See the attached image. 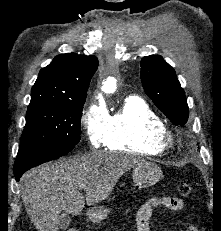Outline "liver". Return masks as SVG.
Wrapping results in <instances>:
<instances>
[{"mask_svg": "<svg viewBox=\"0 0 221 231\" xmlns=\"http://www.w3.org/2000/svg\"><path fill=\"white\" fill-rule=\"evenodd\" d=\"M139 157L93 151L26 172L20 179L22 200L38 231H58L62 211L79 215L106 199L124 172L143 162ZM84 189L85 196L80 192Z\"/></svg>", "mask_w": 221, "mask_h": 231, "instance_id": "obj_1", "label": "liver"}]
</instances>
